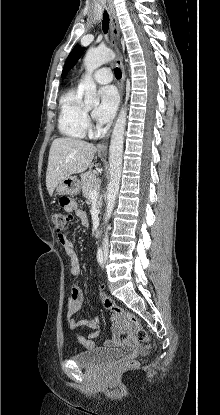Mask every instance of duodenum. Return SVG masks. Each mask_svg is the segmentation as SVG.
<instances>
[{
	"instance_id": "1",
	"label": "duodenum",
	"mask_w": 220,
	"mask_h": 415,
	"mask_svg": "<svg viewBox=\"0 0 220 415\" xmlns=\"http://www.w3.org/2000/svg\"><path fill=\"white\" fill-rule=\"evenodd\" d=\"M101 235H102V230H101V228L98 226V227L95 229V231H94V236H95L96 238H99V237H101Z\"/></svg>"
}]
</instances>
